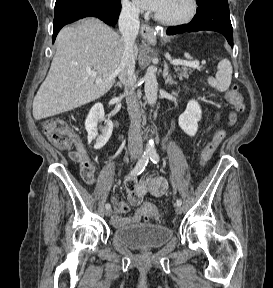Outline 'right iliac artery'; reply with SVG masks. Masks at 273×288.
<instances>
[{
	"label": "right iliac artery",
	"instance_id": "right-iliac-artery-1",
	"mask_svg": "<svg viewBox=\"0 0 273 288\" xmlns=\"http://www.w3.org/2000/svg\"><path fill=\"white\" fill-rule=\"evenodd\" d=\"M149 159H150V154H146L144 153L141 157V159L138 161V163L136 164V166L133 168V170L131 171V175L133 176H136V175H139L141 174L145 167L147 166L148 162H149ZM105 208L106 209H110L111 208V205L109 203H107L105 205Z\"/></svg>",
	"mask_w": 273,
	"mask_h": 288
}]
</instances>
